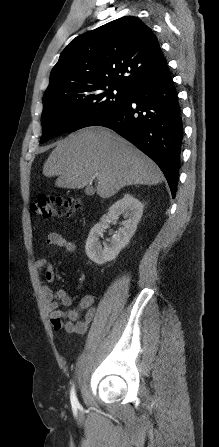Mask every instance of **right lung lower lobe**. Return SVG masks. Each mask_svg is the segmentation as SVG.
<instances>
[{
  "mask_svg": "<svg viewBox=\"0 0 219 447\" xmlns=\"http://www.w3.org/2000/svg\"><path fill=\"white\" fill-rule=\"evenodd\" d=\"M113 129L163 171L172 197L178 184L183 138L182 111L170 71L142 85L124 104L91 123Z\"/></svg>",
  "mask_w": 219,
  "mask_h": 447,
  "instance_id": "obj_1",
  "label": "right lung lower lobe"
}]
</instances>
